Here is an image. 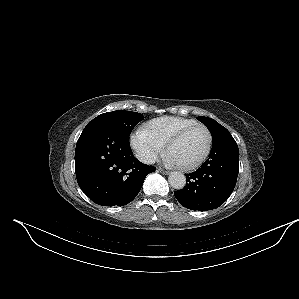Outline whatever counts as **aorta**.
<instances>
[{
	"mask_svg": "<svg viewBox=\"0 0 299 299\" xmlns=\"http://www.w3.org/2000/svg\"><path fill=\"white\" fill-rule=\"evenodd\" d=\"M170 185L175 189H183L186 185V176L178 171H173L168 177Z\"/></svg>",
	"mask_w": 299,
	"mask_h": 299,
	"instance_id": "762f6f07",
	"label": "aorta"
}]
</instances>
